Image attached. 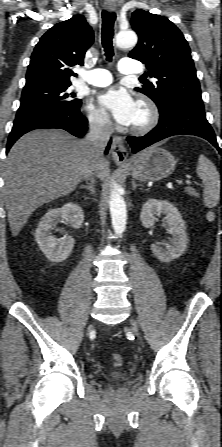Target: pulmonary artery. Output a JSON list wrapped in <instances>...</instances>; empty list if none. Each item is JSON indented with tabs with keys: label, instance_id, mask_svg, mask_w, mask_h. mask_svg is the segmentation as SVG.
Masks as SVG:
<instances>
[{
	"label": "pulmonary artery",
	"instance_id": "1",
	"mask_svg": "<svg viewBox=\"0 0 222 447\" xmlns=\"http://www.w3.org/2000/svg\"><path fill=\"white\" fill-rule=\"evenodd\" d=\"M118 70L123 75H137L143 72V67L135 60L125 58L120 61ZM83 81L95 87H105L112 83L113 77L108 70L97 68L85 72Z\"/></svg>",
	"mask_w": 222,
	"mask_h": 447
}]
</instances>
